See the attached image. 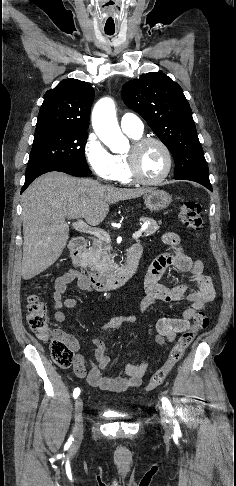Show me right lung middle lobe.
<instances>
[{"mask_svg": "<svg viewBox=\"0 0 236 486\" xmlns=\"http://www.w3.org/2000/svg\"><path fill=\"white\" fill-rule=\"evenodd\" d=\"M87 131L38 128L27 166L51 163L89 168L85 159Z\"/></svg>", "mask_w": 236, "mask_h": 486, "instance_id": "dd1d6c3e", "label": "right lung middle lobe"}]
</instances>
